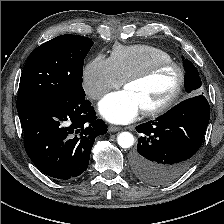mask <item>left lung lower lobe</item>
Instances as JSON below:
<instances>
[{
    "label": "left lung lower lobe",
    "mask_w": 224,
    "mask_h": 224,
    "mask_svg": "<svg viewBox=\"0 0 224 224\" xmlns=\"http://www.w3.org/2000/svg\"><path fill=\"white\" fill-rule=\"evenodd\" d=\"M209 119L207 99L195 95L155 121L138 125L141 137L132 159L135 176L160 186L179 178L200 148Z\"/></svg>",
    "instance_id": "0a47b994"
}]
</instances>
